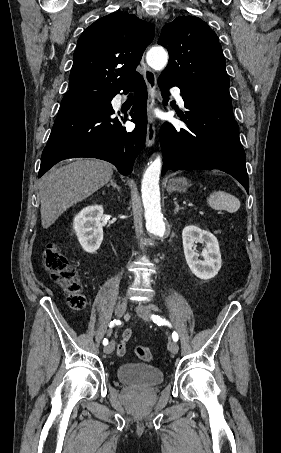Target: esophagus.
I'll use <instances>...</instances> for the list:
<instances>
[{"instance_id": "esophagus-1", "label": "esophagus", "mask_w": 281, "mask_h": 453, "mask_svg": "<svg viewBox=\"0 0 281 453\" xmlns=\"http://www.w3.org/2000/svg\"><path fill=\"white\" fill-rule=\"evenodd\" d=\"M143 68V76L148 88L149 101H148V123L146 134V146L151 147L155 141L156 127L155 119L153 116V107L155 105V92L157 87L156 75L145 63L144 58L141 60Z\"/></svg>"}]
</instances>
